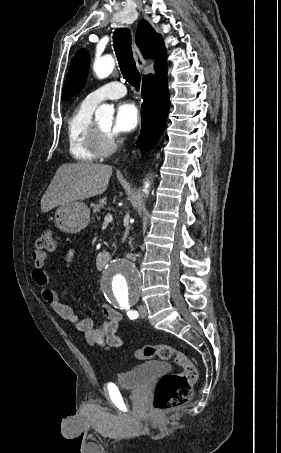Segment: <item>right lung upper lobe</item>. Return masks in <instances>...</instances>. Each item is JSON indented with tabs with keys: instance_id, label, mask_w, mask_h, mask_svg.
Instances as JSON below:
<instances>
[{
	"instance_id": "right-lung-upper-lobe-1",
	"label": "right lung upper lobe",
	"mask_w": 281,
	"mask_h": 453,
	"mask_svg": "<svg viewBox=\"0 0 281 453\" xmlns=\"http://www.w3.org/2000/svg\"><path fill=\"white\" fill-rule=\"evenodd\" d=\"M135 40L145 58L156 59L155 66L165 59L163 38L153 29L148 21L141 20L138 23Z\"/></svg>"
}]
</instances>
